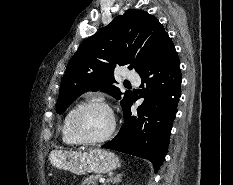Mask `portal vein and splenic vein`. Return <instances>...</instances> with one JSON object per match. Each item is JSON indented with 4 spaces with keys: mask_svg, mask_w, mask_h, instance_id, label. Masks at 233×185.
Wrapping results in <instances>:
<instances>
[{
    "mask_svg": "<svg viewBox=\"0 0 233 185\" xmlns=\"http://www.w3.org/2000/svg\"><path fill=\"white\" fill-rule=\"evenodd\" d=\"M99 182H100V183H104V182H105V178H100V179H99Z\"/></svg>",
    "mask_w": 233,
    "mask_h": 185,
    "instance_id": "portal-vein-and-splenic-vein-1",
    "label": "portal vein and splenic vein"
}]
</instances>
